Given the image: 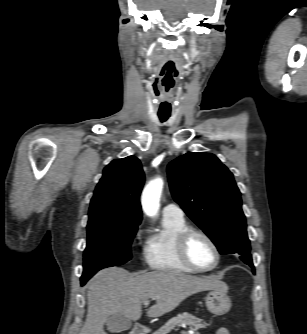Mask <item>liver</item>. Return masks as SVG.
<instances>
[{"label": "liver", "mask_w": 307, "mask_h": 334, "mask_svg": "<svg viewBox=\"0 0 307 334\" xmlns=\"http://www.w3.org/2000/svg\"><path fill=\"white\" fill-rule=\"evenodd\" d=\"M222 282L214 276L196 277L176 271L131 274L119 267L99 271L87 284L88 312L80 334H106L104 324L113 314L137 321L142 303L156 300L147 312L159 317L174 310L190 295L217 289Z\"/></svg>", "instance_id": "6515ba94"}]
</instances>
